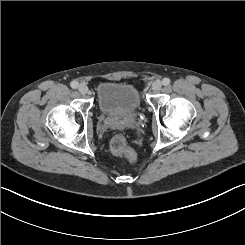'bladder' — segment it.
Listing matches in <instances>:
<instances>
[{
    "instance_id": "1",
    "label": "bladder",
    "mask_w": 245,
    "mask_h": 245,
    "mask_svg": "<svg viewBox=\"0 0 245 245\" xmlns=\"http://www.w3.org/2000/svg\"><path fill=\"white\" fill-rule=\"evenodd\" d=\"M97 105L100 109L113 112H136L141 99L134 86L126 84L98 83Z\"/></svg>"
}]
</instances>
